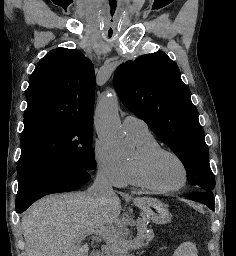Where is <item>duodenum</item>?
Here are the masks:
<instances>
[{
	"label": "duodenum",
	"instance_id": "obj_1",
	"mask_svg": "<svg viewBox=\"0 0 236 256\" xmlns=\"http://www.w3.org/2000/svg\"><path fill=\"white\" fill-rule=\"evenodd\" d=\"M95 256H103L102 251H99L98 253H96Z\"/></svg>",
	"mask_w": 236,
	"mask_h": 256
}]
</instances>
